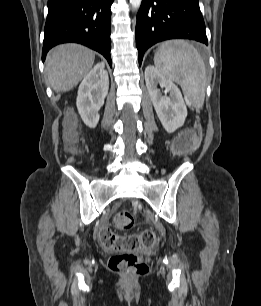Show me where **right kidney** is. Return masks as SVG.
<instances>
[{
    "instance_id": "1",
    "label": "right kidney",
    "mask_w": 261,
    "mask_h": 306,
    "mask_svg": "<svg viewBox=\"0 0 261 306\" xmlns=\"http://www.w3.org/2000/svg\"><path fill=\"white\" fill-rule=\"evenodd\" d=\"M103 62L96 64L84 77L78 89L77 109L83 122L90 128L99 121V110L108 94L109 78Z\"/></svg>"
}]
</instances>
